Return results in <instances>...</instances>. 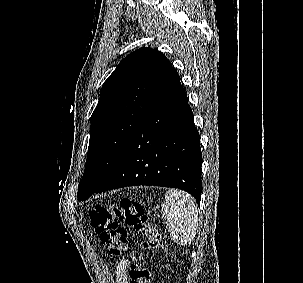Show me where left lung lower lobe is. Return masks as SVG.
<instances>
[{"label": "left lung lower lobe", "instance_id": "1", "mask_svg": "<svg viewBox=\"0 0 303 283\" xmlns=\"http://www.w3.org/2000/svg\"><path fill=\"white\" fill-rule=\"evenodd\" d=\"M202 153L199 133L179 75L172 67L136 128L109 178L98 188L77 195L126 186L174 187L201 200Z\"/></svg>", "mask_w": 303, "mask_h": 283}]
</instances>
